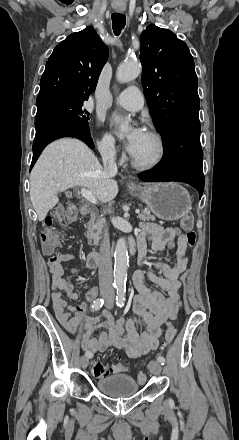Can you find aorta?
Wrapping results in <instances>:
<instances>
[{"label":"aorta","mask_w":239,"mask_h":440,"mask_svg":"<svg viewBox=\"0 0 239 440\" xmlns=\"http://www.w3.org/2000/svg\"><path fill=\"white\" fill-rule=\"evenodd\" d=\"M141 72V66L134 62V64H123L119 66L116 72V78L120 84H128L132 80H136ZM115 122H119V132L117 136L119 140H123L126 134L130 132L128 120H123L117 116L116 112L113 114ZM129 268L128 250L125 238H119L115 252H114V286L117 290H123L127 280V270Z\"/></svg>","instance_id":"1"}]
</instances>
